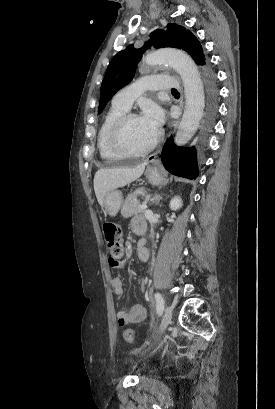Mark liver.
Here are the masks:
<instances>
[{
    "instance_id": "liver-1",
    "label": "liver",
    "mask_w": 275,
    "mask_h": 409,
    "mask_svg": "<svg viewBox=\"0 0 275 409\" xmlns=\"http://www.w3.org/2000/svg\"><path fill=\"white\" fill-rule=\"evenodd\" d=\"M144 168L145 164H138L135 168H99L94 176V190L99 205L103 207L106 192L133 182L143 174Z\"/></svg>"
}]
</instances>
